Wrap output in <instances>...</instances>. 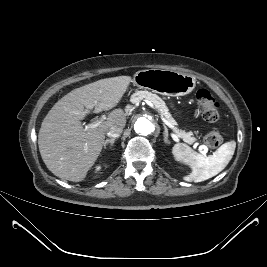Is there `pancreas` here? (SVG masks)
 Returning a JSON list of instances; mask_svg holds the SVG:
<instances>
[{
    "mask_svg": "<svg viewBox=\"0 0 267 267\" xmlns=\"http://www.w3.org/2000/svg\"><path fill=\"white\" fill-rule=\"evenodd\" d=\"M146 99L151 101L154 106L160 111V113L165 117V119L174 127V132L176 135L180 138H182L186 143L192 144L195 142V137H193L192 132H185L182 130H179L176 125V121L171 116V114L168 112L167 106L165 102L156 94H153L149 91H137L131 96L130 101L132 103H138L141 100Z\"/></svg>",
    "mask_w": 267,
    "mask_h": 267,
    "instance_id": "obj_1",
    "label": "pancreas"
}]
</instances>
